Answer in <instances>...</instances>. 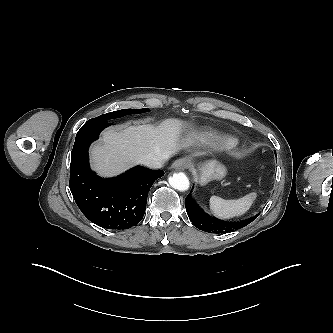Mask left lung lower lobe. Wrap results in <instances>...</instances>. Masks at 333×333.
<instances>
[{"instance_id":"left-lung-lower-lobe-1","label":"left lung lower lobe","mask_w":333,"mask_h":333,"mask_svg":"<svg viewBox=\"0 0 333 333\" xmlns=\"http://www.w3.org/2000/svg\"><path fill=\"white\" fill-rule=\"evenodd\" d=\"M185 207L189 219L200 230L209 233L225 234L234 230L245 227L253 220H255L260 213L257 215L239 222H222L215 218H212L208 214L202 212L192 201L191 195L189 194L185 199Z\"/></svg>"}]
</instances>
